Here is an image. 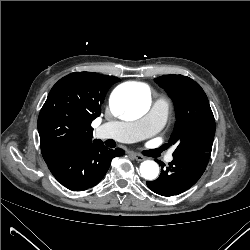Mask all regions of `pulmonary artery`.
I'll return each instance as SVG.
<instances>
[{
    "instance_id": "pulmonary-artery-1",
    "label": "pulmonary artery",
    "mask_w": 250,
    "mask_h": 250,
    "mask_svg": "<svg viewBox=\"0 0 250 250\" xmlns=\"http://www.w3.org/2000/svg\"><path fill=\"white\" fill-rule=\"evenodd\" d=\"M169 111L166 99L157 98L149 113L142 119L133 122L115 121L105 123L101 130H106L108 137L122 142H135L145 139L158 132L165 124ZM173 160L172 153L166 156V161Z\"/></svg>"
}]
</instances>
